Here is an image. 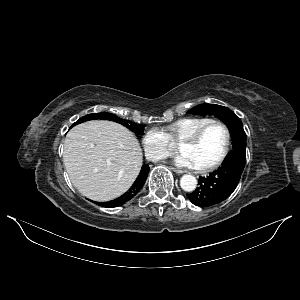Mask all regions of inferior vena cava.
I'll use <instances>...</instances> for the list:
<instances>
[{"instance_id":"1","label":"inferior vena cava","mask_w":300,"mask_h":300,"mask_svg":"<svg viewBox=\"0 0 300 300\" xmlns=\"http://www.w3.org/2000/svg\"><path fill=\"white\" fill-rule=\"evenodd\" d=\"M159 158H160V156H158V155L153 156V160H156V159H159Z\"/></svg>"}]
</instances>
